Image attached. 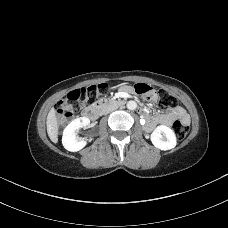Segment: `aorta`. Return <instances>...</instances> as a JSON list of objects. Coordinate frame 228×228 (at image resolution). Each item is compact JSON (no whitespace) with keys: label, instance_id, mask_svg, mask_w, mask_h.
I'll return each mask as SVG.
<instances>
[{"label":"aorta","instance_id":"obj_1","mask_svg":"<svg viewBox=\"0 0 228 228\" xmlns=\"http://www.w3.org/2000/svg\"><path fill=\"white\" fill-rule=\"evenodd\" d=\"M136 107H137V103L135 102V101H128L127 102V108L129 109V110H135L136 109Z\"/></svg>","mask_w":228,"mask_h":228}]
</instances>
